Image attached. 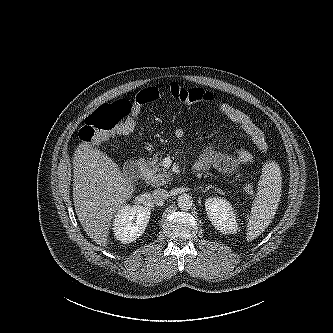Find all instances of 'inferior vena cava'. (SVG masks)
Instances as JSON below:
<instances>
[{
	"label": "inferior vena cava",
	"mask_w": 333,
	"mask_h": 333,
	"mask_svg": "<svg viewBox=\"0 0 333 333\" xmlns=\"http://www.w3.org/2000/svg\"><path fill=\"white\" fill-rule=\"evenodd\" d=\"M153 197L157 200H164L169 197V193L163 188H158L153 191Z\"/></svg>",
	"instance_id": "1"
}]
</instances>
